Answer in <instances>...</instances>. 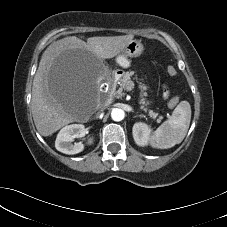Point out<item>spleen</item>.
I'll return each instance as SVG.
<instances>
[{
    "instance_id": "obj_1",
    "label": "spleen",
    "mask_w": 227,
    "mask_h": 227,
    "mask_svg": "<svg viewBox=\"0 0 227 227\" xmlns=\"http://www.w3.org/2000/svg\"><path fill=\"white\" fill-rule=\"evenodd\" d=\"M191 121V106L181 101L174 109L171 117L164 121L150 136L152 147L168 149L179 144L185 138Z\"/></svg>"
}]
</instances>
